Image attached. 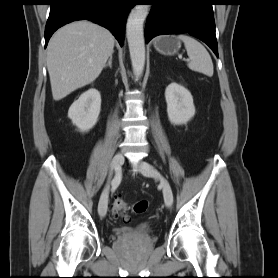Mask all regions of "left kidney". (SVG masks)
<instances>
[{"label": "left kidney", "mask_w": 278, "mask_h": 278, "mask_svg": "<svg viewBox=\"0 0 278 278\" xmlns=\"http://www.w3.org/2000/svg\"><path fill=\"white\" fill-rule=\"evenodd\" d=\"M167 114L174 125L186 124L195 115V106L191 93L176 82L169 84L165 90Z\"/></svg>", "instance_id": "obj_1"}]
</instances>
